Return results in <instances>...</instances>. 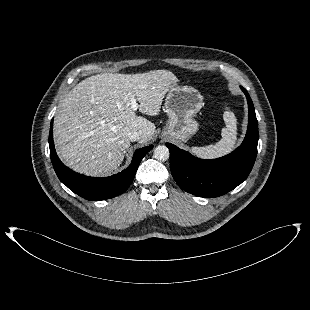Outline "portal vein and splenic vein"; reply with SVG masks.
I'll list each match as a JSON object with an SVG mask.
<instances>
[{
    "instance_id": "18ae733b",
    "label": "portal vein and splenic vein",
    "mask_w": 310,
    "mask_h": 310,
    "mask_svg": "<svg viewBox=\"0 0 310 310\" xmlns=\"http://www.w3.org/2000/svg\"><path fill=\"white\" fill-rule=\"evenodd\" d=\"M130 105H131V108L133 111H136L139 107V105L137 104L136 99L134 97H132L130 99Z\"/></svg>"
}]
</instances>
